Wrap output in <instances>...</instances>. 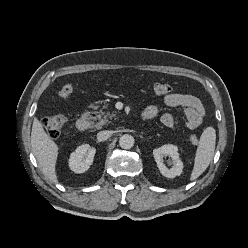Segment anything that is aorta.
<instances>
[{
	"instance_id": "762f6f07",
	"label": "aorta",
	"mask_w": 248,
	"mask_h": 248,
	"mask_svg": "<svg viewBox=\"0 0 248 248\" xmlns=\"http://www.w3.org/2000/svg\"><path fill=\"white\" fill-rule=\"evenodd\" d=\"M134 143V137L129 134H124L119 139V145L122 149H130L134 146Z\"/></svg>"
}]
</instances>
